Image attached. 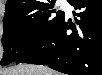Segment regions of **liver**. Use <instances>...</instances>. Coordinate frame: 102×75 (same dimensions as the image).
I'll return each mask as SVG.
<instances>
[{"label":"liver","instance_id":"1","mask_svg":"<svg viewBox=\"0 0 102 75\" xmlns=\"http://www.w3.org/2000/svg\"><path fill=\"white\" fill-rule=\"evenodd\" d=\"M1 75H59L57 72L42 65L20 64L1 71Z\"/></svg>","mask_w":102,"mask_h":75}]
</instances>
